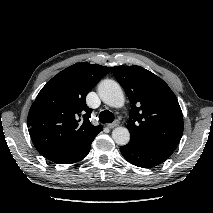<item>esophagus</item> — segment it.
Segmentation results:
<instances>
[{
	"label": "esophagus",
	"instance_id": "obj_1",
	"mask_svg": "<svg viewBox=\"0 0 213 213\" xmlns=\"http://www.w3.org/2000/svg\"><path fill=\"white\" fill-rule=\"evenodd\" d=\"M109 128H115V127H117V126H119V121L118 120H115L113 123H111V124H108L107 125Z\"/></svg>",
	"mask_w": 213,
	"mask_h": 213
}]
</instances>
